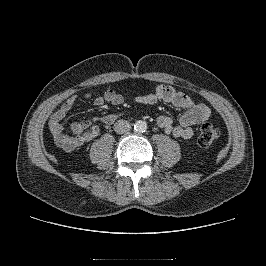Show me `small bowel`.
I'll list each match as a JSON object with an SVG mask.
<instances>
[{
  "label": "small bowel",
  "instance_id": "c3829d8e",
  "mask_svg": "<svg viewBox=\"0 0 266 266\" xmlns=\"http://www.w3.org/2000/svg\"><path fill=\"white\" fill-rule=\"evenodd\" d=\"M83 99H92L96 106H104L106 103L121 105L124 98L113 89H107L102 95L87 94ZM81 100L78 96L69 97L50 117L49 131L56 145L64 150H74L95 139L100 132L97 122L105 125L113 124L119 117L118 114H106L100 117L74 122L69 133L63 125L64 119L77 106ZM137 103L153 105L158 101H163L174 107L186 109L176 123L172 117L161 115L157 118L158 127L168 135L175 138L189 139L193 135V127L211 116L210 108L202 103L196 102L190 96L177 91L176 89L160 85L154 91L135 98Z\"/></svg>",
  "mask_w": 266,
  "mask_h": 266
}]
</instances>
